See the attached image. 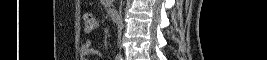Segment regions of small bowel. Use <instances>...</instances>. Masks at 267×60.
<instances>
[{"label": "small bowel", "instance_id": "obj_1", "mask_svg": "<svg viewBox=\"0 0 267 60\" xmlns=\"http://www.w3.org/2000/svg\"><path fill=\"white\" fill-rule=\"evenodd\" d=\"M83 51L86 54H100V52L94 48L93 41L92 40H87L84 45H83Z\"/></svg>", "mask_w": 267, "mask_h": 60}]
</instances>
